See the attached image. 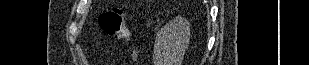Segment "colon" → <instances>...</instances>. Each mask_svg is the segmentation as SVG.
I'll use <instances>...</instances> for the list:
<instances>
[{
	"label": "colon",
	"mask_w": 309,
	"mask_h": 65,
	"mask_svg": "<svg viewBox=\"0 0 309 65\" xmlns=\"http://www.w3.org/2000/svg\"><path fill=\"white\" fill-rule=\"evenodd\" d=\"M99 24L111 37L124 38L127 35L124 13L120 9H110L101 14Z\"/></svg>",
	"instance_id": "1"
}]
</instances>
